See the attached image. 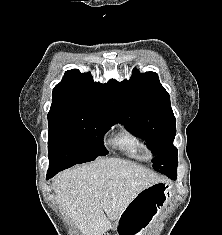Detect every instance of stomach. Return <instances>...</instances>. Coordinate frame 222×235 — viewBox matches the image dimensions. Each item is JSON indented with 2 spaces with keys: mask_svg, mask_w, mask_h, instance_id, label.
Returning a JSON list of instances; mask_svg holds the SVG:
<instances>
[{
  "mask_svg": "<svg viewBox=\"0 0 222 235\" xmlns=\"http://www.w3.org/2000/svg\"><path fill=\"white\" fill-rule=\"evenodd\" d=\"M172 186L157 182L142 190L125 208L112 229L117 235H144L170 203Z\"/></svg>",
  "mask_w": 222,
  "mask_h": 235,
  "instance_id": "stomach-1",
  "label": "stomach"
}]
</instances>
